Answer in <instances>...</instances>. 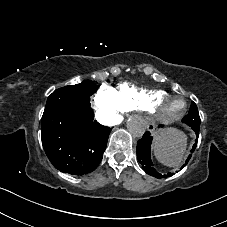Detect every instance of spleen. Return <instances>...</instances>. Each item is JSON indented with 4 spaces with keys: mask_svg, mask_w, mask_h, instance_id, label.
Segmentation results:
<instances>
[{
    "mask_svg": "<svg viewBox=\"0 0 227 227\" xmlns=\"http://www.w3.org/2000/svg\"><path fill=\"white\" fill-rule=\"evenodd\" d=\"M186 147V136L176 130L161 131L155 139L154 150L158 160L167 166H177L182 161Z\"/></svg>",
    "mask_w": 227,
    "mask_h": 227,
    "instance_id": "spleen-1",
    "label": "spleen"
}]
</instances>
